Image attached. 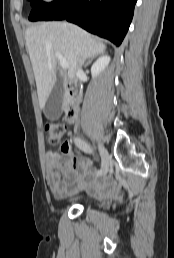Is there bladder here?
Listing matches in <instances>:
<instances>
[{"instance_id":"obj_1","label":"bladder","mask_w":174,"mask_h":258,"mask_svg":"<svg viewBox=\"0 0 174 258\" xmlns=\"http://www.w3.org/2000/svg\"><path fill=\"white\" fill-rule=\"evenodd\" d=\"M93 199L92 198H87L84 202H83V207L87 208L89 207L92 203H93Z\"/></svg>"}]
</instances>
